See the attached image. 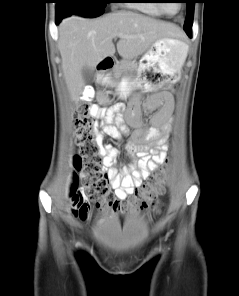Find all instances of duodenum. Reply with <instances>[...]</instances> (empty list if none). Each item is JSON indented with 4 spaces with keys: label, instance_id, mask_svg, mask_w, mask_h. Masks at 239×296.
Instances as JSON below:
<instances>
[{
    "label": "duodenum",
    "instance_id": "410a0bca",
    "mask_svg": "<svg viewBox=\"0 0 239 296\" xmlns=\"http://www.w3.org/2000/svg\"><path fill=\"white\" fill-rule=\"evenodd\" d=\"M114 65H115V62L111 57H105L99 62L98 70L101 73L108 72L111 69H113Z\"/></svg>",
    "mask_w": 239,
    "mask_h": 296
}]
</instances>
